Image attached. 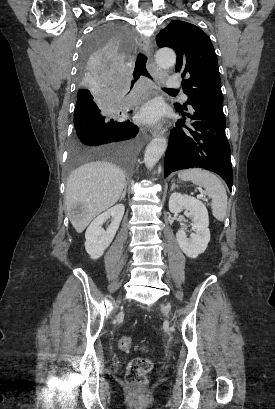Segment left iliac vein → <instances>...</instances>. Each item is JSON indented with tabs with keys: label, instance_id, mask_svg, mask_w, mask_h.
Returning a JSON list of instances; mask_svg holds the SVG:
<instances>
[{
	"label": "left iliac vein",
	"instance_id": "1",
	"mask_svg": "<svg viewBox=\"0 0 275 409\" xmlns=\"http://www.w3.org/2000/svg\"><path fill=\"white\" fill-rule=\"evenodd\" d=\"M161 310H162V312H163L166 316H168L169 313H170V307L167 306V305H163V306L161 307Z\"/></svg>",
	"mask_w": 275,
	"mask_h": 409
}]
</instances>
